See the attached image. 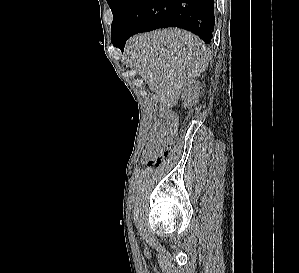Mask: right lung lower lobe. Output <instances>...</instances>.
<instances>
[{
  "instance_id": "obj_1",
  "label": "right lung lower lobe",
  "mask_w": 299,
  "mask_h": 273,
  "mask_svg": "<svg viewBox=\"0 0 299 273\" xmlns=\"http://www.w3.org/2000/svg\"><path fill=\"white\" fill-rule=\"evenodd\" d=\"M214 25V0H134L112 43L123 51L126 40L134 34L179 27L209 44Z\"/></svg>"
}]
</instances>
